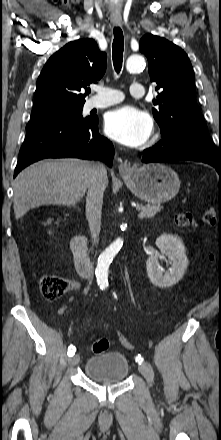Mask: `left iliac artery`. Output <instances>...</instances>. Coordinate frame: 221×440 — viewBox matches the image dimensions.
<instances>
[{"label":"left iliac artery","instance_id":"obj_1","mask_svg":"<svg viewBox=\"0 0 221 440\" xmlns=\"http://www.w3.org/2000/svg\"><path fill=\"white\" fill-rule=\"evenodd\" d=\"M136 362H138L139 364H141L143 362V358L141 357V355L136 356L135 358Z\"/></svg>","mask_w":221,"mask_h":440}]
</instances>
